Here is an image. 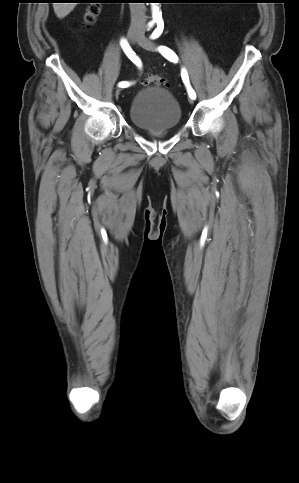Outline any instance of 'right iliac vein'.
I'll list each match as a JSON object with an SVG mask.
<instances>
[{
    "label": "right iliac vein",
    "instance_id": "obj_1",
    "mask_svg": "<svg viewBox=\"0 0 299 483\" xmlns=\"http://www.w3.org/2000/svg\"><path fill=\"white\" fill-rule=\"evenodd\" d=\"M138 37H139V32L137 30L129 29L128 39H129L130 43L134 44L138 40ZM120 92H121L120 89L116 90V97L119 96Z\"/></svg>",
    "mask_w": 299,
    "mask_h": 483
}]
</instances>
